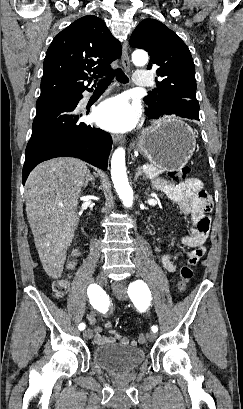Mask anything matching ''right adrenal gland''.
<instances>
[{
    "instance_id": "1",
    "label": "right adrenal gland",
    "mask_w": 243,
    "mask_h": 409,
    "mask_svg": "<svg viewBox=\"0 0 243 409\" xmlns=\"http://www.w3.org/2000/svg\"><path fill=\"white\" fill-rule=\"evenodd\" d=\"M91 182L92 183V187L95 188V178L93 175H89L88 179L86 180L85 184H84V188L87 187L88 183Z\"/></svg>"
}]
</instances>
